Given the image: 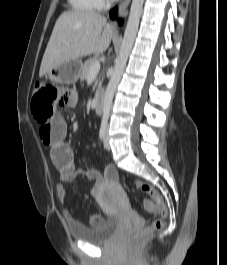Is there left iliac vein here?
<instances>
[{"mask_svg": "<svg viewBox=\"0 0 227 265\" xmlns=\"http://www.w3.org/2000/svg\"><path fill=\"white\" fill-rule=\"evenodd\" d=\"M104 147H105V149L110 150L108 127L106 128V134H105V138H104Z\"/></svg>", "mask_w": 227, "mask_h": 265, "instance_id": "1", "label": "left iliac vein"}]
</instances>
